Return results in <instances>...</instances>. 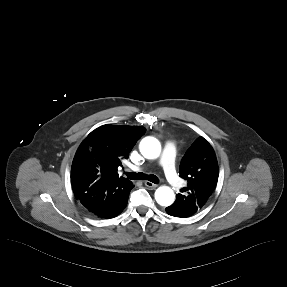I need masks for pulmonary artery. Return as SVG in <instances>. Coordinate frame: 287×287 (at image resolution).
I'll return each mask as SVG.
<instances>
[{
    "instance_id": "obj_1",
    "label": "pulmonary artery",
    "mask_w": 287,
    "mask_h": 287,
    "mask_svg": "<svg viewBox=\"0 0 287 287\" xmlns=\"http://www.w3.org/2000/svg\"><path fill=\"white\" fill-rule=\"evenodd\" d=\"M175 152H176L175 143H167L160 157V165L162 166L165 176L169 181V183L172 185V187L175 190H179L181 188V183L175 174V168H174ZM131 169L135 172H140L144 169V167L132 165Z\"/></svg>"
}]
</instances>
